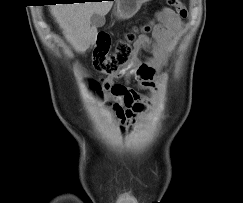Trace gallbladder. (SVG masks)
Listing matches in <instances>:
<instances>
[{"label": "gallbladder", "mask_w": 243, "mask_h": 203, "mask_svg": "<svg viewBox=\"0 0 243 203\" xmlns=\"http://www.w3.org/2000/svg\"><path fill=\"white\" fill-rule=\"evenodd\" d=\"M91 24L95 27H102L105 24V17L103 15L94 13L91 16Z\"/></svg>", "instance_id": "obj_1"}]
</instances>
